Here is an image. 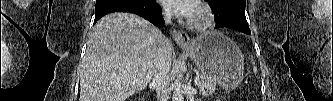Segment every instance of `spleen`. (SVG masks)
Instances as JSON below:
<instances>
[{"label": "spleen", "mask_w": 333, "mask_h": 101, "mask_svg": "<svg viewBox=\"0 0 333 101\" xmlns=\"http://www.w3.org/2000/svg\"><path fill=\"white\" fill-rule=\"evenodd\" d=\"M251 62H252V64L254 65V66H253V72H254V73H257V68H256V66H255V62H254V60H253L252 55H251Z\"/></svg>", "instance_id": "obj_1"}]
</instances>
